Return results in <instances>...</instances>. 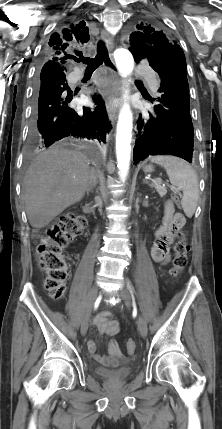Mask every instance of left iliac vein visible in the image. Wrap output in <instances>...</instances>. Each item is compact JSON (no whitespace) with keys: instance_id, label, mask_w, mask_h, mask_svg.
Here are the masks:
<instances>
[{"instance_id":"left-iliac-vein-1","label":"left iliac vein","mask_w":222,"mask_h":429,"mask_svg":"<svg viewBox=\"0 0 222 429\" xmlns=\"http://www.w3.org/2000/svg\"><path fill=\"white\" fill-rule=\"evenodd\" d=\"M129 288H132L130 284H128ZM118 294L120 295V297L125 301L126 304H131L133 302V297L131 295V293L129 292V290L121 288L118 291ZM138 328H139V332L141 334L142 337H146L147 335V323L145 318L142 315H139L138 317Z\"/></svg>"}]
</instances>
